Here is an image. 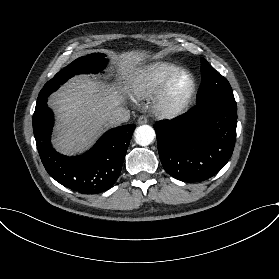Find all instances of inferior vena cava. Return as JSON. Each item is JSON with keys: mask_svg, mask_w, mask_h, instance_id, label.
I'll return each instance as SVG.
<instances>
[{"mask_svg": "<svg viewBox=\"0 0 279 279\" xmlns=\"http://www.w3.org/2000/svg\"><path fill=\"white\" fill-rule=\"evenodd\" d=\"M130 119L129 110L119 107L111 112L110 119L108 121L110 126H118Z\"/></svg>", "mask_w": 279, "mask_h": 279, "instance_id": "602c4592", "label": "inferior vena cava"}]
</instances>
